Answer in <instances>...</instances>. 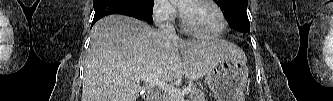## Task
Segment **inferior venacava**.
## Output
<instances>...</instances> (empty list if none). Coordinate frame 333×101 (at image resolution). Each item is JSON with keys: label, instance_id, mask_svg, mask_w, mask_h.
Here are the masks:
<instances>
[{"label": "inferior vena cava", "instance_id": "inferior-vena-cava-1", "mask_svg": "<svg viewBox=\"0 0 333 101\" xmlns=\"http://www.w3.org/2000/svg\"><path fill=\"white\" fill-rule=\"evenodd\" d=\"M158 27H159V31L161 33L165 34L167 38L173 39V40L178 38L176 35V32H175V28L169 19L159 22Z\"/></svg>", "mask_w": 333, "mask_h": 101}]
</instances>
